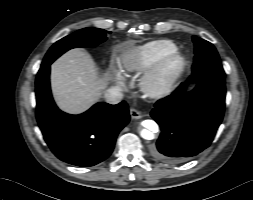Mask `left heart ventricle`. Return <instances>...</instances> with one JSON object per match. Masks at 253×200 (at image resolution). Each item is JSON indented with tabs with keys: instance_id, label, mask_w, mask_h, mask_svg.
Wrapping results in <instances>:
<instances>
[{
	"instance_id": "1",
	"label": "left heart ventricle",
	"mask_w": 253,
	"mask_h": 200,
	"mask_svg": "<svg viewBox=\"0 0 253 200\" xmlns=\"http://www.w3.org/2000/svg\"><path fill=\"white\" fill-rule=\"evenodd\" d=\"M177 62L176 61H171L167 67H166V72L170 73L176 68Z\"/></svg>"
}]
</instances>
